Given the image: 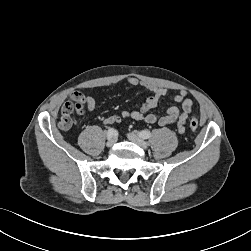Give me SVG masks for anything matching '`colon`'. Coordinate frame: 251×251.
<instances>
[{"label": "colon", "instance_id": "obj_1", "mask_svg": "<svg viewBox=\"0 0 251 251\" xmlns=\"http://www.w3.org/2000/svg\"><path fill=\"white\" fill-rule=\"evenodd\" d=\"M76 110L78 113H82V103L81 102H76V104L72 102H67L61 111V117L59 121V126L62 129H69L72 125V118L71 114ZM189 126L191 130H196L199 126V122L196 118H192L189 122Z\"/></svg>", "mask_w": 251, "mask_h": 251}]
</instances>
